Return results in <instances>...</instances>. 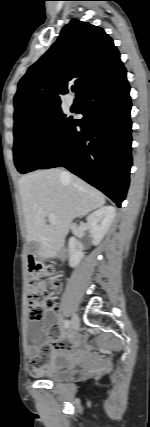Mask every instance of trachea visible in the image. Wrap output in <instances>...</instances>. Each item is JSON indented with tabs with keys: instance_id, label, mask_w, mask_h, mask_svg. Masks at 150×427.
<instances>
[{
	"instance_id": "1",
	"label": "trachea",
	"mask_w": 150,
	"mask_h": 427,
	"mask_svg": "<svg viewBox=\"0 0 150 427\" xmlns=\"http://www.w3.org/2000/svg\"><path fill=\"white\" fill-rule=\"evenodd\" d=\"M72 90L75 91V87H73Z\"/></svg>"
}]
</instances>
